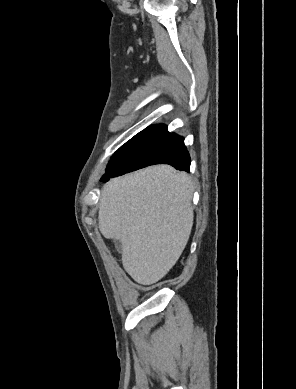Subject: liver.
<instances>
[{"mask_svg":"<svg viewBox=\"0 0 296 389\" xmlns=\"http://www.w3.org/2000/svg\"><path fill=\"white\" fill-rule=\"evenodd\" d=\"M193 183L169 165L110 180L102 189L98 224L122 243V263L139 284L163 278L181 256L193 226Z\"/></svg>","mask_w":296,"mask_h":389,"instance_id":"6515ba94","label":"liver"}]
</instances>
